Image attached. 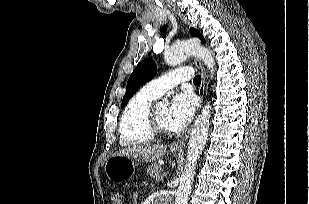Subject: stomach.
I'll return each instance as SVG.
<instances>
[{"label": "stomach", "mask_w": 309, "mask_h": 204, "mask_svg": "<svg viewBox=\"0 0 309 204\" xmlns=\"http://www.w3.org/2000/svg\"><path fill=\"white\" fill-rule=\"evenodd\" d=\"M171 153L178 156L181 151L171 150ZM136 166V161L130 157L112 155L105 163V173L110 180L120 182L132 177Z\"/></svg>", "instance_id": "stomach-1"}]
</instances>
